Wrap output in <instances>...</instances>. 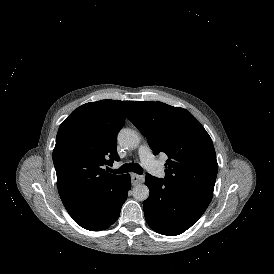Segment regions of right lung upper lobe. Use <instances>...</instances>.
Wrapping results in <instances>:
<instances>
[{
    "label": "right lung upper lobe",
    "mask_w": 274,
    "mask_h": 274,
    "mask_svg": "<svg viewBox=\"0 0 274 274\" xmlns=\"http://www.w3.org/2000/svg\"><path fill=\"white\" fill-rule=\"evenodd\" d=\"M133 101L101 100L74 110L60 125L53 163L57 187L69 214L92 205L123 175L102 168L118 161L116 139Z\"/></svg>",
    "instance_id": "right-lung-upper-lobe-1"
}]
</instances>
